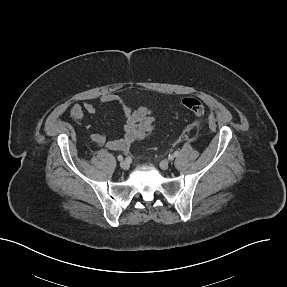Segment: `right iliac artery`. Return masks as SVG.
Segmentation results:
<instances>
[{"label":"right iliac artery","mask_w":287,"mask_h":287,"mask_svg":"<svg viewBox=\"0 0 287 287\" xmlns=\"http://www.w3.org/2000/svg\"><path fill=\"white\" fill-rule=\"evenodd\" d=\"M117 159H118V161H122V160H123V156H122V155H119V156L117 157Z\"/></svg>","instance_id":"82829eb1"}]
</instances>
